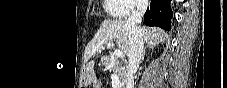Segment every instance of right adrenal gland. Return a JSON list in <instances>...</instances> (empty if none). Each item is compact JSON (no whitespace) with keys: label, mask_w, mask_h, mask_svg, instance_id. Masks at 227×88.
<instances>
[{"label":"right adrenal gland","mask_w":227,"mask_h":88,"mask_svg":"<svg viewBox=\"0 0 227 88\" xmlns=\"http://www.w3.org/2000/svg\"><path fill=\"white\" fill-rule=\"evenodd\" d=\"M144 58H145V51H144L143 56H142V62L144 61Z\"/></svg>","instance_id":"1"}]
</instances>
